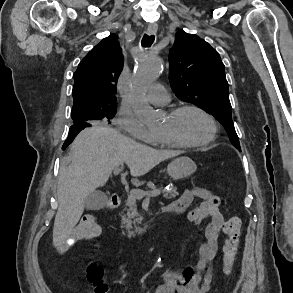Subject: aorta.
Returning a JSON list of instances; mask_svg holds the SVG:
<instances>
[{"mask_svg": "<svg viewBox=\"0 0 293 293\" xmlns=\"http://www.w3.org/2000/svg\"><path fill=\"white\" fill-rule=\"evenodd\" d=\"M162 64L158 56H143L137 64L130 83L133 109L139 120L148 126L154 124L157 119L152 108L142 100V97L148 87L159 77Z\"/></svg>", "mask_w": 293, "mask_h": 293, "instance_id": "1", "label": "aorta"}]
</instances>
